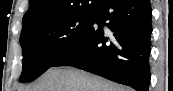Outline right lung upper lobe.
<instances>
[{"label":"right lung upper lobe","instance_id":"cb5924a9","mask_svg":"<svg viewBox=\"0 0 173 91\" xmlns=\"http://www.w3.org/2000/svg\"><path fill=\"white\" fill-rule=\"evenodd\" d=\"M98 0H29L23 17V29L53 18L96 8Z\"/></svg>","mask_w":173,"mask_h":91}]
</instances>
